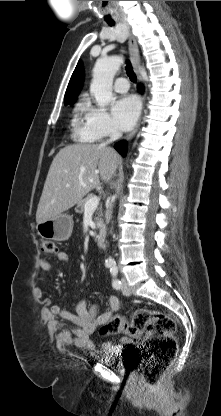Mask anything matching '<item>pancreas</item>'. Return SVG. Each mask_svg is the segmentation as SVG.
Wrapping results in <instances>:
<instances>
[{
  "label": "pancreas",
  "mask_w": 221,
  "mask_h": 416,
  "mask_svg": "<svg viewBox=\"0 0 221 416\" xmlns=\"http://www.w3.org/2000/svg\"><path fill=\"white\" fill-rule=\"evenodd\" d=\"M92 197H94V195H93V194H90V195H88L86 198H84V199L80 200V201L77 203V207H76L75 211H76L77 213L82 214V213L84 212V206H85V203H86V202H87L90 198H92ZM96 215H97V217H95V223H96L97 225H99V224H101V223L103 222V219H102V215H103V213H102V208H101V207L97 209V211H96Z\"/></svg>",
  "instance_id": "obj_1"
}]
</instances>
